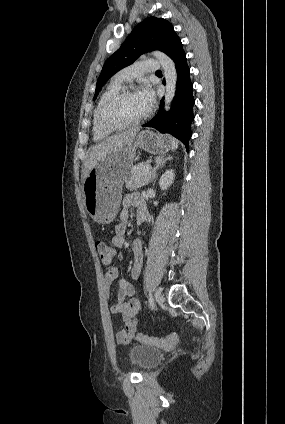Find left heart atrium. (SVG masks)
Listing matches in <instances>:
<instances>
[{
  "label": "left heart atrium",
  "mask_w": 285,
  "mask_h": 424,
  "mask_svg": "<svg viewBox=\"0 0 285 424\" xmlns=\"http://www.w3.org/2000/svg\"><path fill=\"white\" fill-rule=\"evenodd\" d=\"M144 109L148 112L154 105L155 96L152 88L146 84L137 93Z\"/></svg>",
  "instance_id": "1"
}]
</instances>
